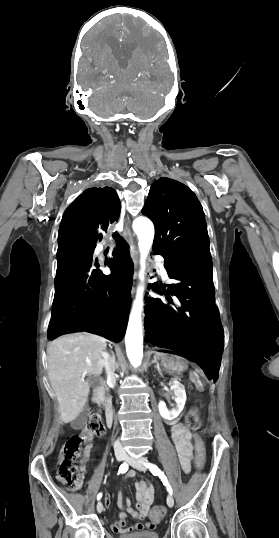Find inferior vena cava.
Listing matches in <instances>:
<instances>
[{"label": "inferior vena cava", "mask_w": 279, "mask_h": 538, "mask_svg": "<svg viewBox=\"0 0 279 538\" xmlns=\"http://www.w3.org/2000/svg\"><path fill=\"white\" fill-rule=\"evenodd\" d=\"M103 357L105 358V361H103V363H104V366L106 367V371H107V374H108L107 384H108V385H111V384H112L113 387H114L115 382H116L115 376H116L117 374L115 375V374L113 373L114 370H115V369H114V366H113V372L111 371V367H112L111 365L114 364L115 361H110V362H111V364H110V363H109V358H110V357H109V354L106 353V352L103 353ZM114 375H115V376H114ZM116 378H117V377H116ZM114 449H115V455H116V458H117V457H120V458L123 460V459H125V458L128 457V455H126V454L124 453V447H122V445H121V443H120L119 441H116V442L114 443Z\"/></svg>", "instance_id": "602c4592"}]
</instances>
